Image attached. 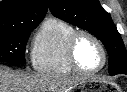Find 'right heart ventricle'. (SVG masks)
Listing matches in <instances>:
<instances>
[{
  "instance_id": "right-heart-ventricle-1",
  "label": "right heart ventricle",
  "mask_w": 127,
  "mask_h": 92,
  "mask_svg": "<svg viewBox=\"0 0 127 92\" xmlns=\"http://www.w3.org/2000/svg\"><path fill=\"white\" fill-rule=\"evenodd\" d=\"M76 29L68 22L47 18L37 31L32 46L31 61L35 71L47 75L74 73L66 57V45Z\"/></svg>"
}]
</instances>
